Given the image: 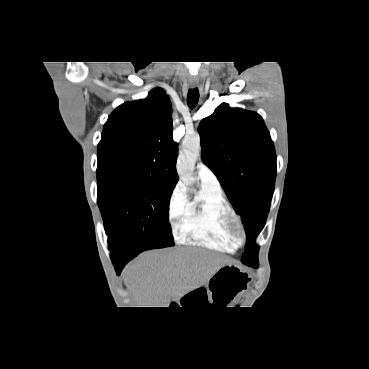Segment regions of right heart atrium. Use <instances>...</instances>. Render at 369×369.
Masks as SVG:
<instances>
[{"mask_svg": "<svg viewBox=\"0 0 369 369\" xmlns=\"http://www.w3.org/2000/svg\"><path fill=\"white\" fill-rule=\"evenodd\" d=\"M188 203L185 188L178 184L173 189L168 203V218L171 223L179 222L183 216Z\"/></svg>", "mask_w": 369, "mask_h": 369, "instance_id": "1", "label": "right heart atrium"}]
</instances>
